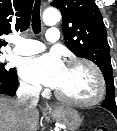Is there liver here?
<instances>
[{
    "instance_id": "liver-1",
    "label": "liver",
    "mask_w": 117,
    "mask_h": 131,
    "mask_svg": "<svg viewBox=\"0 0 117 131\" xmlns=\"http://www.w3.org/2000/svg\"><path fill=\"white\" fill-rule=\"evenodd\" d=\"M39 112L0 95V131H37Z\"/></svg>"
}]
</instances>
